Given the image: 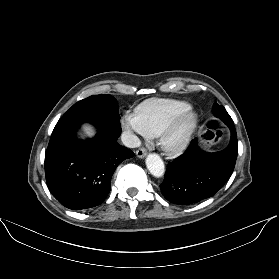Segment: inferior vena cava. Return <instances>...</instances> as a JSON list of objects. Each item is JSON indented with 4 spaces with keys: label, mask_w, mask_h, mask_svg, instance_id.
<instances>
[{
    "label": "inferior vena cava",
    "mask_w": 279,
    "mask_h": 279,
    "mask_svg": "<svg viewBox=\"0 0 279 279\" xmlns=\"http://www.w3.org/2000/svg\"><path fill=\"white\" fill-rule=\"evenodd\" d=\"M121 140L128 148H137L141 145L140 139L130 132H123L121 135Z\"/></svg>",
    "instance_id": "1"
}]
</instances>
